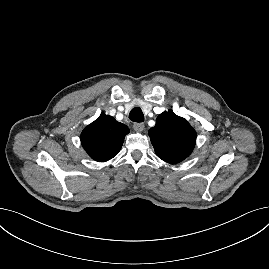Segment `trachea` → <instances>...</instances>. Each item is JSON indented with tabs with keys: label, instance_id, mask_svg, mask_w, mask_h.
Returning a JSON list of instances; mask_svg holds the SVG:
<instances>
[{
	"label": "trachea",
	"instance_id": "obj_1",
	"mask_svg": "<svg viewBox=\"0 0 269 269\" xmlns=\"http://www.w3.org/2000/svg\"><path fill=\"white\" fill-rule=\"evenodd\" d=\"M129 119L133 122L140 123L144 121V114L140 108L136 107L130 111Z\"/></svg>",
	"mask_w": 269,
	"mask_h": 269
}]
</instances>
